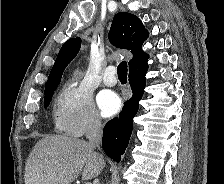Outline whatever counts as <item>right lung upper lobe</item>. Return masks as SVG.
Listing matches in <instances>:
<instances>
[{
	"instance_id": "right-lung-upper-lobe-1",
	"label": "right lung upper lobe",
	"mask_w": 224,
	"mask_h": 184,
	"mask_svg": "<svg viewBox=\"0 0 224 184\" xmlns=\"http://www.w3.org/2000/svg\"><path fill=\"white\" fill-rule=\"evenodd\" d=\"M149 33L141 20L127 12L117 13L109 31V40L116 47L130 50L133 58L129 61V72L147 66L148 54L142 50ZM81 46L80 38H71L61 47L45 86V92L54 91L66 66L75 58ZM44 92V93H45Z\"/></svg>"
}]
</instances>
